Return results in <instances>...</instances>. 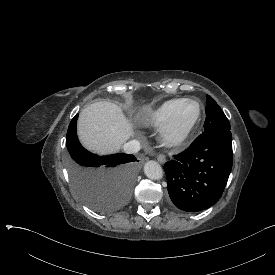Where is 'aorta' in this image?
<instances>
[{"label": "aorta", "instance_id": "obj_1", "mask_svg": "<svg viewBox=\"0 0 275 275\" xmlns=\"http://www.w3.org/2000/svg\"><path fill=\"white\" fill-rule=\"evenodd\" d=\"M144 173L150 179H159L162 176V169L158 162L148 160L144 163Z\"/></svg>", "mask_w": 275, "mask_h": 275}]
</instances>
